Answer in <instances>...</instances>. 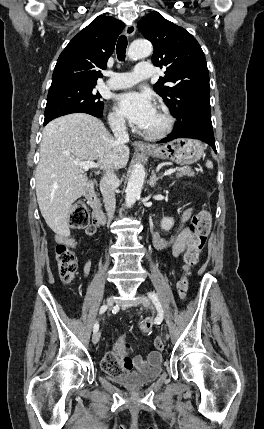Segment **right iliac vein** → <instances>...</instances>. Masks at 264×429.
Instances as JSON below:
<instances>
[{
    "label": "right iliac vein",
    "instance_id": "1",
    "mask_svg": "<svg viewBox=\"0 0 264 429\" xmlns=\"http://www.w3.org/2000/svg\"><path fill=\"white\" fill-rule=\"evenodd\" d=\"M113 301H114V299H113V297L111 296V297H109L108 298V300H107V302H106V304H107V307H108V309L109 310H112L113 309ZM100 332L99 331H97V332H95L94 334H93V336H92V342H93V344H97L98 342H99V339H100Z\"/></svg>",
    "mask_w": 264,
    "mask_h": 429
}]
</instances>
